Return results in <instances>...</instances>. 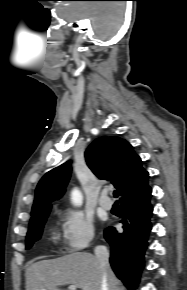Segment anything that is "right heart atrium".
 Instances as JSON below:
<instances>
[{"mask_svg": "<svg viewBox=\"0 0 187 290\" xmlns=\"http://www.w3.org/2000/svg\"><path fill=\"white\" fill-rule=\"evenodd\" d=\"M63 241L69 252H79L94 240L92 219L79 210H68L61 214Z\"/></svg>", "mask_w": 187, "mask_h": 290, "instance_id": "obj_1", "label": "right heart atrium"}]
</instances>
